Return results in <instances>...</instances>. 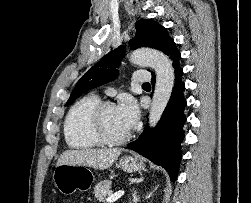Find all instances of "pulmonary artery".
<instances>
[{"label":"pulmonary artery","mask_w":251,"mask_h":203,"mask_svg":"<svg viewBox=\"0 0 251 203\" xmlns=\"http://www.w3.org/2000/svg\"><path fill=\"white\" fill-rule=\"evenodd\" d=\"M151 79V74L148 72L136 71L134 73V82L147 83Z\"/></svg>","instance_id":"e3ab8cb5"}]
</instances>
